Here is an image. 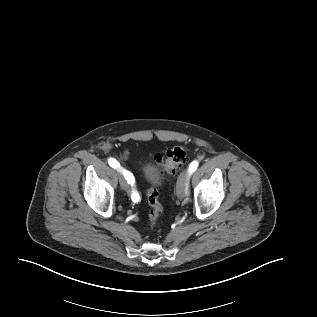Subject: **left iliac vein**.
Here are the masks:
<instances>
[{"instance_id": "obj_1", "label": "left iliac vein", "mask_w": 317, "mask_h": 317, "mask_svg": "<svg viewBox=\"0 0 317 317\" xmlns=\"http://www.w3.org/2000/svg\"><path fill=\"white\" fill-rule=\"evenodd\" d=\"M189 172L183 171L177 181L176 195L179 199H183L185 196L186 187L189 181Z\"/></svg>"}]
</instances>
